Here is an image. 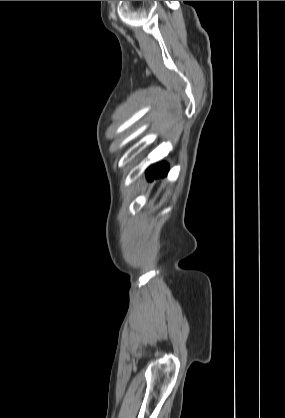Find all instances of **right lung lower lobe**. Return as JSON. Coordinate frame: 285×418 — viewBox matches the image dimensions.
Returning a JSON list of instances; mask_svg holds the SVG:
<instances>
[{"label":"right lung lower lobe","instance_id":"right-lung-lower-lobe-1","mask_svg":"<svg viewBox=\"0 0 285 418\" xmlns=\"http://www.w3.org/2000/svg\"><path fill=\"white\" fill-rule=\"evenodd\" d=\"M168 173V165L165 162L151 166L147 171V179L163 177Z\"/></svg>","mask_w":285,"mask_h":418}]
</instances>
